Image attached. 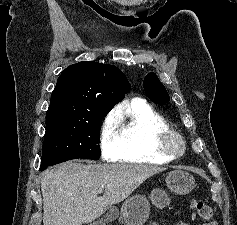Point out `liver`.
<instances>
[{"label":"liver","mask_w":237,"mask_h":225,"mask_svg":"<svg viewBox=\"0 0 237 225\" xmlns=\"http://www.w3.org/2000/svg\"><path fill=\"white\" fill-rule=\"evenodd\" d=\"M165 168L144 164L65 162L41 180L43 225H82L125 200L147 178ZM104 194L98 197V189Z\"/></svg>","instance_id":"6515ba94"}]
</instances>
